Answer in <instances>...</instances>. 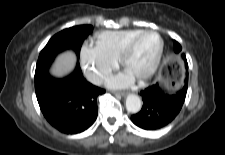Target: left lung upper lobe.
Here are the masks:
<instances>
[{"mask_svg": "<svg viewBox=\"0 0 225 155\" xmlns=\"http://www.w3.org/2000/svg\"><path fill=\"white\" fill-rule=\"evenodd\" d=\"M174 46H175V52L176 53H179L181 51V46L179 45V43L177 41H174ZM182 58L184 59L185 63H186V68L188 67V64H187V60H186V57L185 55H182ZM187 81H188V74H187V77H186ZM185 79V80H186Z\"/></svg>", "mask_w": 225, "mask_h": 155, "instance_id": "left-lung-upper-lobe-1", "label": "left lung upper lobe"}]
</instances>
